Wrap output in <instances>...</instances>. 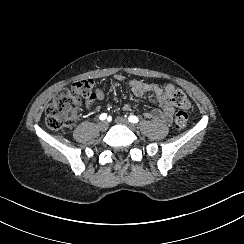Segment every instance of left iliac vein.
I'll return each instance as SVG.
<instances>
[{"mask_svg":"<svg viewBox=\"0 0 244 244\" xmlns=\"http://www.w3.org/2000/svg\"><path fill=\"white\" fill-rule=\"evenodd\" d=\"M115 121H116V123H118L120 125L127 126L132 131H134L136 129V126L132 123H129L128 120L125 119L124 117H117Z\"/></svg>","mask_w":244,"mask_h":244,"instance_id":"4c4485c4","label":"left iliac vein"}]
</instances>
